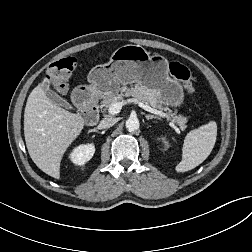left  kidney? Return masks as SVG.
<instances>
[{
    "label": "left kidney",
    "instance_id": "1",
    "mask_svg": "<svg viewBox=\"0 0 252 252\" xmlns=\"http://www.w3.org/2000/svg\"><path fill=\"white\" fill-rule=\"evenodd\" d=\"M162 141L164 142L165 146H168V142L166 141L165 137L162 138Z\"/></svg>",
    "mask_w": 252,
    "mask_h": 252
}]
</instances>
